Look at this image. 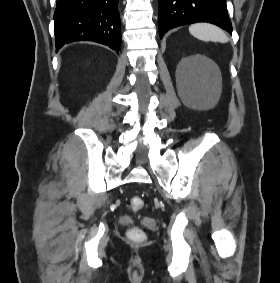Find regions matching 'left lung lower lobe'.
<instances>
[{
	"label": "left lung lower lobe",
	"mask_w": 280,
	"mask_h": 283,
	"mask_svg": "<svg viewBox=\"0 0 280 283\" xmlns=\"http://www.w3.org/2000/svg\"><path fill=\"white\" fill-rule=\"evenodd\" d=\"M196 22H209L232 34L226 0H159L160 38L169 29Z\"/></svg>",
	"instance_id": "left-lung-lower-lobe-1"
}]
</instances>
